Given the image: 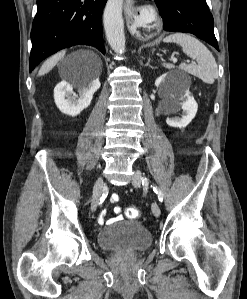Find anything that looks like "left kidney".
<instances>
[{
    "label": "left kidney",
    "instance_id": "obj_1",
    "mask_svg": "<svg viewBox=\"0 0 247 299\" xmlns=\"http://www.w3.org/2000/svg\"><path fill=\"white\" fill-rule=\"evenodd\" d=\"M173 83V78L166 74L160 76L155 81V85L164 89L172 98L171 106L176 109L179 105H181L183 109L182 118H167L166 123L171 127L184 128L195 117L198 104L188 89H177L173 87Z\"/></svg>",
    "mask_w": 247,
    "mask_h": 299
}]
</instances>
